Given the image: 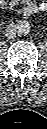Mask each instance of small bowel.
Returning a JSON list of instances; mask_svg holds the SVG:
<instances>
[{"instance_id": "c3829d8e", "label": "small bowel", "mask_w": 47, "mask_h": 129, "mask_svg": "<svg viewBox=\"0 0 47 129\" xmlns=\"http://www.w3.org/2000/svg\"><path fill=\"white\" fill-rule=\"evenodd\" d=\"M1 1H2V4L5 6H12L16 3L17 0H1ZM37 7L39 8V11H42L46 8V3L41 2L37 4Z\"/></svg>"}]
</instances>
